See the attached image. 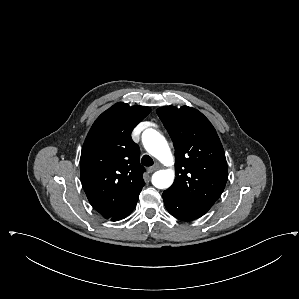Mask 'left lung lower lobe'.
<instances>
[{
    "instance_id": "1",
    "label": "left lung lower lobe",
    "mask_w": 299,
    "mask_h": 299,
    "mask_svg": "<svg viewBox=\"0 0 299 299\" xmlns=\"http://www.w3.org/2000/svg\"><path fill=\"white\" fill-rule=\"evenodd\" d=\"M162 196L168 212L178 219L191 221L206 213L205 211L188 204L168 190H165Z\"/></svg>"
}]
</instances>
